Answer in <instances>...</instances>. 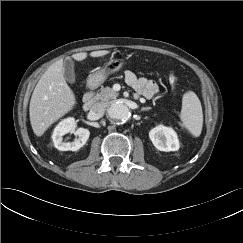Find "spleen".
I'll return each mask as SVG.
<instances>
[{
	"instance_id": "spleen-1",
	"label": "spleen",
	"mask_w": 243,
	"mask_h": 243,
	"mask_svg": "<svg viewBox=\"0 0 243 243\" xmlns=\"http://www.w3.org/2000/svg\"><path fill=\"white\" fill-rule=\"evenodd\" d=\"M180 125L194 137H199L203 127V112L199 98L193 91H188L182 98Z\"/></svg>"
}]
</instances>
